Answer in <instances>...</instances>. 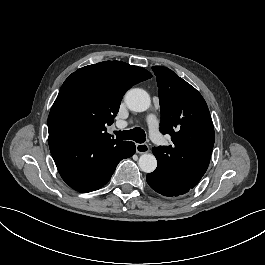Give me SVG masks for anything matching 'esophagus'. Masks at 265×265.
Instances as JSON below:
<instances>
[{
    "mask_svg": "<svg viewBox=\"0 0 265 265\" xmlns=\"http://www.w3.org/2000/svg\"><path fill=\"white\" fill-rule=\"evenodd\" d=\"M149 151V146L146 143H137L136 152L139 154L147 153Z\"/></svg>",
    "mask_w": 265,
    "mask_h": 265,
    "instance_id": "obj_1",
    "label": "esophagus"
}]
</instances>
